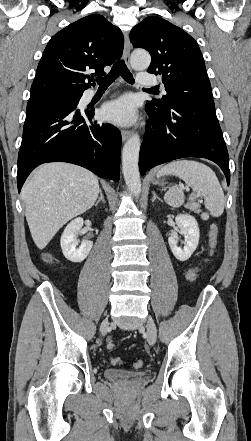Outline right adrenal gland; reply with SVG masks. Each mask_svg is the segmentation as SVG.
Returning <instances> with one entry per match:
<instances>
[{
    "label": "right adrenal gland",
    "mask_w": 251,
    "mask_h": 441,
    "mask_svg": "<svg viewBox=\"0 0 251 441\" xmlns=\"http://www.w3.org/2000/svg\"><path fill=\"white\" fill-rule=\"evenodd\" d=\"M99 195L100 196H99L97 202L95 203V206H97L101 201L105 204V199H104V196L102 194V190L101 189L99 190Z\"/></svg>",
    "instance_id": "2a0ac1e0"
}]
</instances>
